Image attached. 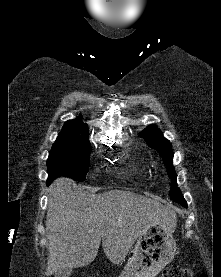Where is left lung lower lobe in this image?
Instances as JSON below:
<instances>
[{
	"label": "left lung lower lobe",
	"instance_id": "0a47b994",
	"mask_svg": "<svg viewBox=\"0 0 221 277\" xmlns=\"http://www.w3.org/2000/svg\"><path fill=\"white\" fill-rule=\"evenodd\" d=\"M183 206L187 207L186 201L182 204Z\"/></svg>",
	"mask_w": 221,
	"mask_h": 277
}]
</instances>
